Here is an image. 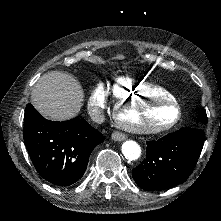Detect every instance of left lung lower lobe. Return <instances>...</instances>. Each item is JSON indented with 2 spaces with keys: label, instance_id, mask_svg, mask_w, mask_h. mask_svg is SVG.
Returning <instances> with one entry per match:
<instances>
[{
  "label": "left lung lower lobe",
  "instance_id": "left-lung-lower-lobe-1",
  "mask_svg": "<svg viewBox=\"0 0 221 221\" xmlns=\"http://www.w3.org/2000/svg\"><path fill=\"white\" fill-rule=\"evenodd\" d=\"M203 144V130L189 127L149 141L146 158L132 170L133 179L149 191L181 184L192 173Z\"/></svg>",
  "mask_w": 221,
  "mask_h": 221
}]
</instances>
